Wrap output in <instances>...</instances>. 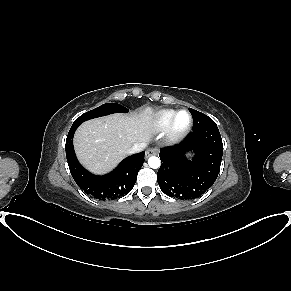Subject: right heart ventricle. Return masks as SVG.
Segmentation results:
<instances>
[{
  "label": "right heart ventricle",
  "instance_id": "1",
  "mask_svg": "<svg viewBox=\"0 0 291 291\" xmlns=\"http://www.w3.org/2000/svg\"><path fill=\"white\" fill-rule=\"evenodd\" d=\"M176 111L171 109H164L158 111L152 117V127L155 131H162L165 130L169 122Z\"/></svg>",
  "mask_w": 291,
  "mask_h": 291
}]
</instances>
